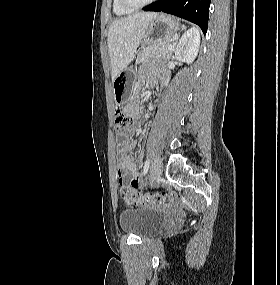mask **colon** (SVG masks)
Segmentation results:
<instances>
[{
	"label": "colon",
	"mask_w": 280,
	"mask_h": 285,
	"mask_svg": "<svg viewBox=\"0 0 280 285\" xmlns=\"http://www.w3.org/2000/svg\"><path fill=\"white\" fill-rule=\"evenodd\" d=\"M133 118L122 110H117L114 116V131L118 137L132 126ZM122 199L128 204H135L138 202L151 203L158 206L171 205L175 199L176 194L171 193H157V194H137L130 186H123L121 189Z\"/></svg>",
	"instance_id": "obj_1"
}]
</instances>
